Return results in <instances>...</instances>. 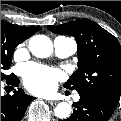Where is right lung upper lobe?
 Returning a JSON list of instances; mask_svg holds the SVG:
<instances>
[{"mask_svg": "<svg viewBox=\"0 0 121 121\" xmlns=\"http://www.w3.org/2000/svg\"><path fill=\"white\" fill-rule=\"evenodd\" d=\"M21 32V34L27 39L31 37L33 34H35L39 30V26H34V27H22L15 25Z\"/></svg>", "mask_w": 121, "mask_h": 121, "instance_id": "obj_1", "label": "right lung upper lobe"}]
</instances>
